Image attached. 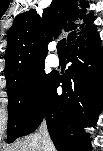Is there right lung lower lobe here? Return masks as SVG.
<instances>
[{
    "instance_id": "obj_1",
    "label": "right lung lower lobe",
    "mask_w": 103,
    "mask_h": 151,
    "mask_svg": "<svg viewBox=\"0 0 103 151\" xmlns=\"http://www.w3.org/2000/svg\"><path fill=\"white\" fill-rule=\"evenodd\" d=\"M95 26L67 46L72 64L62 76L55 74L41 107L22 136L43 121L58 151L90 149L84 127L93 126L102 108L103 52ZM62 83V94L57 87Z\"/></svg>"
}]
</instances>
